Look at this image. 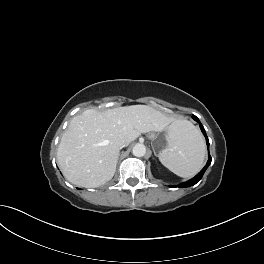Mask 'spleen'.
<instances>
[{
	"label": "spleen",
	"mask_w": 264,
	"mask_h": 264,
	"mask_svg": "<svg viewBox=\"0 0 264 264\" xmlns=\"http://www.w3.org/2000/svg\"><path fill=\"white\" fill-rule=\"evenodd\" d=\"M205 153L200 131L191 122L180 120L170 134L169 146L159 153V160L174 174L188 178L199 172Z\"/></svg>",
	"instance_id": "obj_1"
}]
</instances>
